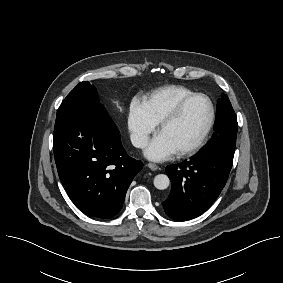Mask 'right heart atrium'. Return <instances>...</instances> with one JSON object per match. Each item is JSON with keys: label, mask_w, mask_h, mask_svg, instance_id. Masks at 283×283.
Returning <instances> with one entry per match:
<instances>
[{"label": "right heart atrium", "mask_w": 283, "mask_h": 283, "mask_svg": "<svg viewBox=\"0 0 283 283\" xmlns=\"http://www.w3.org/2000/svg\"><path fill=\"white\" fill-rule=\"evenodd\" d=\"M156 127V123L146 114L143 103L133 100L128 113V128L132 144L137 148L144 147Z\"/></svg>", "instance_id": "1"}]
</instances>
